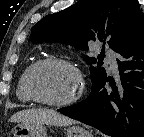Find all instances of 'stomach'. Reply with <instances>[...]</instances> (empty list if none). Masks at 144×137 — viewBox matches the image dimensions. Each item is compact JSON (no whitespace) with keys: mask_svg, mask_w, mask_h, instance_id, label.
Here are the masks:
<instances>
[{"mask_svg":"<svg viewBox=\"0 0 144 137\" xmlns=\"http://www.w3.org/2000/svg\"><path fill=\"white\" fill-rule=\"evenodd\" d=\"M67 137H92V135L80 126H69L66 130ZM13 137H47L43 124L16 125L13 130Z\"/></svg>","mask_w":144,"mask_h":137,"instance_id":"1","label":"stomach"}]
</instances>
